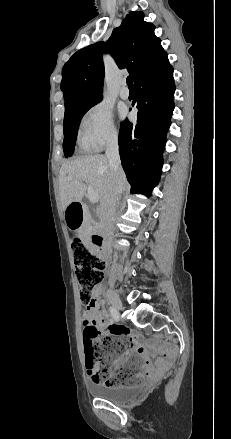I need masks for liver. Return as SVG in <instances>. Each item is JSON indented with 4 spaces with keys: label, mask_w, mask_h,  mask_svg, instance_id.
<instances>
[{
    "label": "liver",
    "mask_w": 231,
    "mask_h": 439,
    "mask_svg": "<svg viewBox=\"0 0 231 439\" xmlns=\"http://www.w3.org/2000/svg\"><path fill=\"white\" fill-rule=\"evenodd\" d=\"M112 180L107 157L90 155L64 163L59 173V190L62 207L65 210L72 202H80L91 186L99 195L100 203L107 194ZM76 181L79 183L77 184ZM86 184H85V183ZM127 188V180L123 170L117 181L118 194Z\"/></svg>",
    "instance_id": "obj_1"
}]
</instances>
